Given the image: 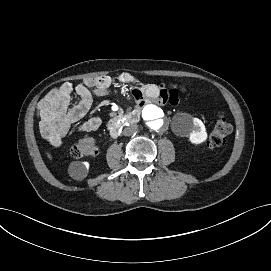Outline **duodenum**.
I'll return each mask as SVG.
<instances>
[{
  "instance_id": "1",
  "label": "duodenum",
  "mask_w": 271,
  "mask_h": 271,
  "mask_svg": "<svg viewBox=\"0 0 271 271\" xmlns=\"http://www.w3.org/2000/svg\"><path fill=\"white\" fill-rule=\"evenodd\" d=\"M141 116L140 110L136 109L133 110L132 112L126 114L123 118V120L127 123L133 124L139 121ZM120 132L119 124L118 123H113L110 129V135L112 138L118 137Z\"/></svg>"
}]
</instances>
